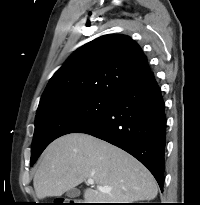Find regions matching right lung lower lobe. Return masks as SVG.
<instances>
[{
	"mask_svg": "<svg viewBox=\"0 0 200 205\" xmlns=\"http://www.w3.org/2000/svg\"><path fill=\"white\" fill-rule=\"evenodd\" d=\"M76 132L95 136L133 155L163 190L165 104L152 72L120 92L101 117Z\"/></svg>",
	"mask_w": 200,
	"mask_h": 205,
	"instance_id": "obj_1",
	"label": "right lung lower lobe"
}]
</instances>
